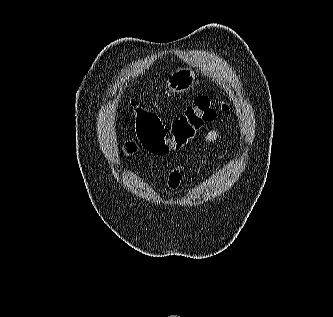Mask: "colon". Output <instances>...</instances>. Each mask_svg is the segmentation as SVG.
Returning <instances> with one entry per match:
<instances>
[{"label":"colon","instance_id":"obj_1","mask_svg":"<svg viewBox=\"0 0 333 317\" xmlns=\"http://www.w3.org/2000/svg\"><path fill=\"white\" fill-rule=\"evenodd\" d=\"M133 109L140 145L154 155L165 156L188 145L219 111H226L228 106L207 96H197L168 127L153 111L136 104Z\"/></svg>","mask_w":333,"mask_h":317}]
</instances>
